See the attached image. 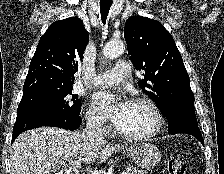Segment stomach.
<instances>
[{
	"mask_svg": "<svg viewBox=\"0 0 224 174\" xmlns=\"http://www.w3.org/2000/svg\"><path fill=\"white\" fill-rule=\"evenodd\" d=\"M134 163L142 169H150L161 160V152L150 143H141L127 151Z\"/></svg>",
	"mask_w": 224,
	"mask_h": 174,
	"instance_id": "obj_1",
	"label": "stomach"
}]
</instances>
